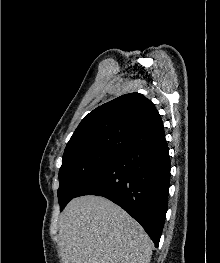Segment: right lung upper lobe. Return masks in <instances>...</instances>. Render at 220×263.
<instances>
[{
	"label": "right lung upper lobe",
	"mask_w": 220,
	"mask_h": 263,
	"mask_svg": "<svg viewBox=\"0 0 220 263\" xmlns=\"http://www.w3.org/2000/svg\"><path fill=\"white\" fill-rule=\"evenodd\" d=\"M163 133V122L154 104L142 94H125L86 115L64 153L91 148L124 150Z\"/></svg>",
	"instance_id": "cb5924a9"
}]
</instances>
